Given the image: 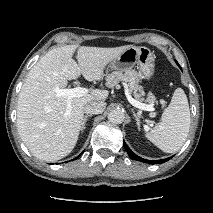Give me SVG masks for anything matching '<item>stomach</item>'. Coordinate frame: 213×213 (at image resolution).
I'll list each match as a JSON object with an SVG mask.
<instances>
[{
    "mask_svg": "<svg viewBox=\"0 0 213 213\" xmlns=\"http://www.w3.org/2000/svg\"><path fill=\"white\" fill-rule=\"evenodd\" d=\"M155 57L147 47L130 46L109 64L111 69L129 70L136 66L139 69L140 76L144 79H150L154 73Z\"/></svg>",
    "mask_w": 213,
    "mask_h": 213,
    "instance_id": "0dacf381",
    "label": "stomach"
}]
</instances>
